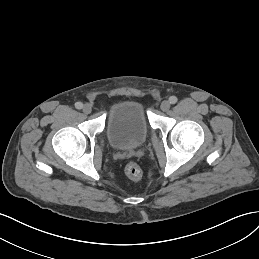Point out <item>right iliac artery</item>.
<instances>
[{
	"label": "right iliac artery",
	"instance_id": "right-iliac-artery-1",
	"mask_svg": "<svg viewBox=\"0 0 259 259\" xmlns=\"http://www.w3.org/2000/svg\"><path fill=\"white\" fill-rule=\"evenodd\" d=\"M75 107H76L77 109H82V108H83V104H82L81 102H77V103L75 104Z\"/></svg>",
	"mask_w": 259,
	"mask_h": 259
}]
</instances>
